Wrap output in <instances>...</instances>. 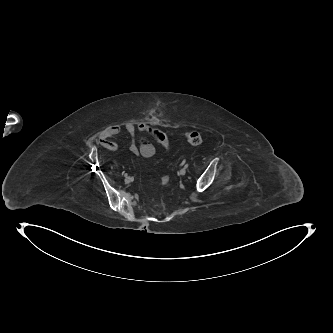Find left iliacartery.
Instances as JSON below:
<instances>
[{
  "mask_svg": "<svg viewBox=\"0 0 333 333\" xmlns=\"http://www.w3.org/2000/svg\"><path fill=\"white\" fill-rule=\"evenodd\" d=\"M185 163H186V161H183V162H182V164H185ZM184 167L187 168V167H188V164H185Z\"/></svg>",
  "mask_w": 333,
  "mask_h": 333,
  "instance_id": "44dca946",
  "label": "left iliac artery"
}]
</instances>
